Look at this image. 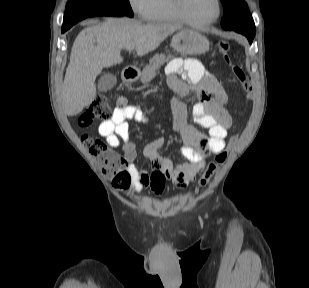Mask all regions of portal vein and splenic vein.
Instances as JSON below:
<instances>
[{"mask_svg": "<svg viewBox=\"0 0 309 288\" xmlns=\"http://www.w3.org/2000/svg\"><path fill=\"white\" fill-rule=\"evenodd\" d=\"M126 49H127L128 51H133L134 47H132V46H127Z\"/></svg>", "mask_w": 309, "mask_h": 288, "instance_id": "portal-vein-and-splenic-vein-1", "label": "portal vein and splenic vein"}]
</instances>
